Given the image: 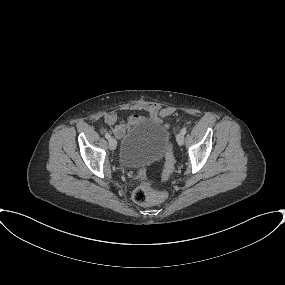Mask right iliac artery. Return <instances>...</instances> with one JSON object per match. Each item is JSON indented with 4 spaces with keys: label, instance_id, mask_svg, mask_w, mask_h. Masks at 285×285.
<instances>
[{
    "label": "right iliac artery",
    "instance_id": "82829eb1",
    "mask_svg": "<svg viewBox=\"0 0 285 285\" xmlns=\"http://www.w3.org/2000/svg\"><path fill=\"white\" fill-rule=\"evenodd\" d=\"M105 138H106V139H110V138H111V135H110L109 133H106V134H105Z\"/></svg>",
    "mask_w": 285,
    "mask_h": 285
}]
</instances>
